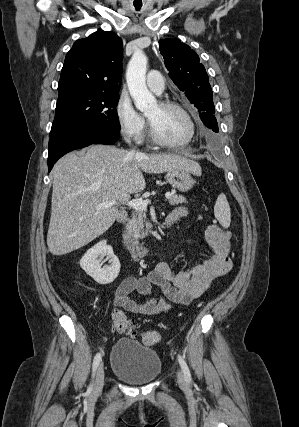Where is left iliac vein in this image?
<instances>
[{
  "label": "left iliac vein",
  "instance_id": "1",
  "mask_svg": "<svg viewBox=\"0 0 299 427\" xmlns=\"http://www.w3.org/2000/svg\"><path fill=\"white\" fill-rule=\"evenodd\" d=\"M177 379H178V382H179L180 384H183V383H184V377H183V374H182V372H181V371H178V372H177Z\"/></svg>",
  "mask_w": 299,
  "mask_h": 427
}]
</instances>
